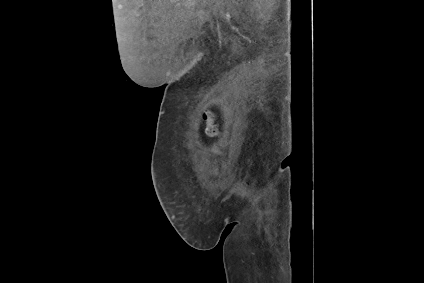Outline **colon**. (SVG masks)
Returning a JSON list of instances; mask_svg holds the SVG:
<instances>
[{
  "label": "colon",
  "mask_w": 424,
  "mask_h": 283,
  "mask_svg": "<svg viewBox=\"0 0 424 283\" xmlns=\"http://www.w3.org/2000/svg\"><path fill=\"white\" fill-rule=\"evenodd\" d=\"M204 120L206 122V133L209 136H218L219 135V129L215 123V115L213 112L208 111L204 113Z\"/></svg>",
  "instance_id": "obj_1"
}]
</instances>
